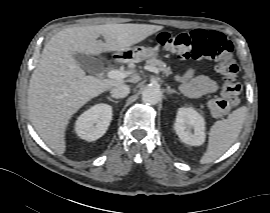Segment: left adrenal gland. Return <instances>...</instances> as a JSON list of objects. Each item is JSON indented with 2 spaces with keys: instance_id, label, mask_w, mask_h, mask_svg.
<instances>
[{
  "instance_id": "obj_1",
  "label": "left adrenal gland",
  "mask_w": 270,
  "mask_h": 213,
  "mask_svg": "<svg viewBox=\"0 0 270 213\" xmlns=\"http://www.w3.org/2000/svg\"><path fill=\"white\" fill-rule=\"evenodd\" d=\"M166 92H167L168 94H172V93L180 94V93L177 92L176 90L171 89L169 86L167 87Z\"/></svg>"
}]
</instances>
